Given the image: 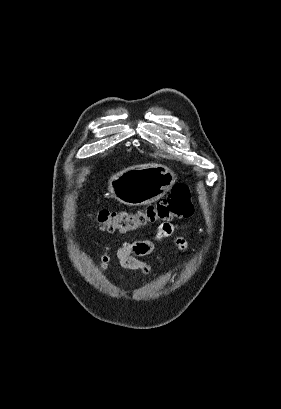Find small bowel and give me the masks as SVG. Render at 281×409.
Segmentation results:
<instances>
[{
    "label": "small bowel",
    "instance_id": "1",
    "mask_svg": "<svg viewBox=\"0 0 281 409\" xmlns=\"http://www.w3.org/2000/svg\"><path fill=\"white\" fill-rule=\"evenodd\" d=\"M179 226L173 223H163L157 231V240L172 236L177 233ZM175 243L180 249H185L186 240L179 235L175 238ZM155 249V241L153 240H133L124 242L117 250L116 256L120 266L125 270L142 271L144 273L150 272V266L138 259L140 256H145L152 253ZM107 252L101 257V267L105 269L110 261V256Z\"/></svg>",
    "mask_w": 281,
    "mask_h": 409
}]
</instances>
